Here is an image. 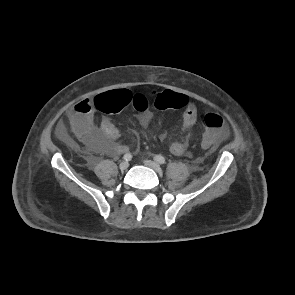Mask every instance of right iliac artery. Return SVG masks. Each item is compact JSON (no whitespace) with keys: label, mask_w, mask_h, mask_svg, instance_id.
Instances as JSON below:
<instances>
[{"label":"right iliac artery","mask_w":295,"mask_h":295,"mask_svg":"<svg viewBox=\"0 0 295 295\" xmlns=\"http://www.w3.org/2000/svg\"><path fill=\"white\" fill-rule=\"evenodd\" d=\"M123 158L125 161H130L132 159V155L130 153H126Z\"/></svg>","instance_id":"obj_1"}]
</instances>
